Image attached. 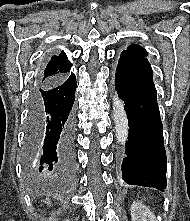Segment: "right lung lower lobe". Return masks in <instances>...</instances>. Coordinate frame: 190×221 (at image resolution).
Segmentation results:
<instances>
[{
  "instance_id": "98d812e1",
  "label": "right lung lower lobe",
  "mask_w": 190,
  "mask_h": 221,
  "mask_svg": "<svg viewBox=\"0 0 190 221\" xmlns=\"http://www.w3.org/2000/svg\"><path fill=\"white\" fill-rule=\"evenodd\" d=\"M76 76L40 83L38 76L29 98L26 158L36 160L34 171L62 170L74 160Z\"/></svg>"
}]
</instances>
